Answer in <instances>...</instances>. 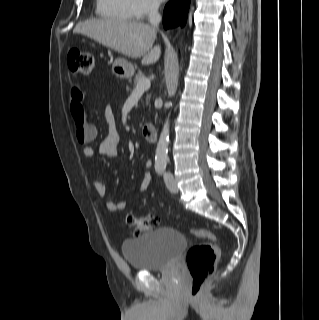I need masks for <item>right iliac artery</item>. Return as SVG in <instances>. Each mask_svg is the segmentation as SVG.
I'll list each match as a JSON object with an SVG mask.
<instances>
[{"label": "right iliac artery", "instance_id": "obj_1", "mask_svg": "<svg viewBox=\"0 0 319 320\" xmlns=\"http://www.w3.org/2000/svg\"><path fill=\"white\" fill-rule=\"evenodd\" d=\"M156 171L160 174L163 171V168L158 167V168H156Z\"/></svg>", "mask_w": 319, "mask_h": 320}]
</instances>
